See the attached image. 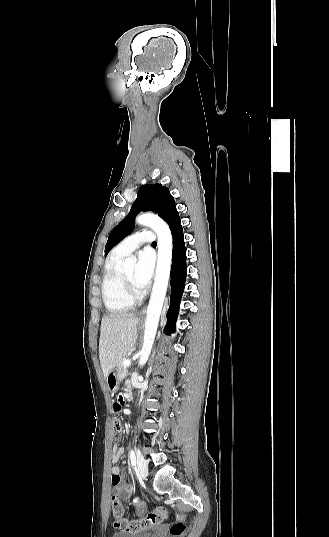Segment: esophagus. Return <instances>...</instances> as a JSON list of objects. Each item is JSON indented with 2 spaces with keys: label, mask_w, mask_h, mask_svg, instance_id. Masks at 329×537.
<instances>
[{
  "label": "esophagus",
  "mask_w": 329,
  "mask_h": 537,
  "mask_svg": "<svg viewBox=\"0 0 329 537\" xmlns=\"http://www.w3.org/2000/svg\"><path fill=\"white\" fill-rule=\"evenodd\" d=\"M146 313V307H144L141 311H140V316H144Z\"/></svg>",
  "instance_id": "34e87169"
}]
</instances>
